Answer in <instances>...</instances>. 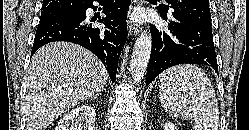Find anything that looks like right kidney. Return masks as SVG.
Returning a JSON list of instances; mask_svg holds the SVG:
<instances>
[{"mask_svg": "<svg viewBox=\"0 0 249 130\" xmlns=\"http://www.w3.org/2000/svg\"><path fill=\"white\" fill-rule=\"evenodd\" d=\"M95 119L94 108L85 104L65 114L55 130H94Z\"/></svg>", "mask_w": 249, "mask_h": 130, "instance_id": "right-kidney-1", "label": "right kidney"}]
</instances>
